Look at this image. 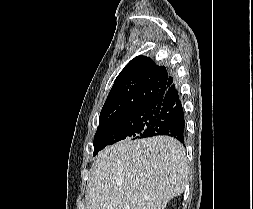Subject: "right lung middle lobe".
<instances>
[{
  "mask_svg": "<svg viewBox=\"0 0 253 209\" xmlns=\"http://www.w3.org/2000/svg\"><path fill=\"white\" fill-rule=\"evenodd\" d=\"M157 111L153 106L134 108L115 118L100 122L94 136V153L96 155L107 145L124 139H138L157 118Z\"/></svg>",
  "mask_w": 253,
  "mask_h": 209,
  "instance_id": "right-lung-middle-lobe-1",
  "label": "right lung middle lobe"
}]
</instances>
